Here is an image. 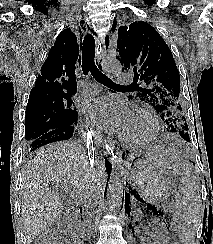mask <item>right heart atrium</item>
<instances>
[{
  "label": "right heart atrium",
  "instance_id": "right-heart-atrium-1",
  "mask_svg": "<svg viewBox=\"0 0 213 244\" xmlns=\"http://www.w3.org/2000/svg\"><path fill=\"white\" fill-rule=\"evenodd\" d=\"M81 131L84 132V133H86V134H89V133H93L94 132V130L92 129V127L89 126V125L82 126Z\"/></svg>",
  "mask_w": 213,
  "mask_h": 244
}]
</instances>
